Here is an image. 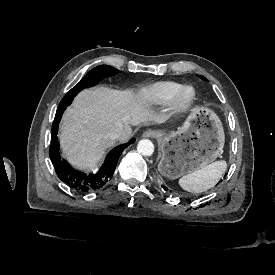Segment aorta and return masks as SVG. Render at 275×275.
I'll list each match as a JSON object with an SVG mask.
<instances>
[{
	"label": "aorta",
	"mask_w": 275,
	"mask_h": 275,
	"mask_svg": "<svg viewBox=\"0 0 275 275\" xmlns=\"http://www.w3.org/2000/svg\"><path fill=\"white\" fill-rule=\"evenodd\" d=\"M137 150L141 155L151 156L154 152V144L149 139H142L138 142Z\"/></svg>",
	"instance_id": "1"
}]
</instances>
